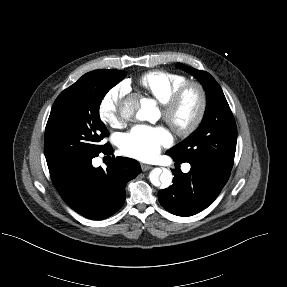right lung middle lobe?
<instances>
[{"instance_id":"1","label":"right lung middle lobe","mask_w":287,"mask_h":287,"mask_svg":"<svg viewBox=\"0 0 287 287\" xmlns=\"http://www.w3.org/2000/svg\"><path fill=\"white\" fill-rule=\"evenodd\" d=\"M126 75L123 70H95L83 75L55 100L45 129L49 170L100 153L109 132L99 116L106 93Z\"/></svg>"}]
</instances>
